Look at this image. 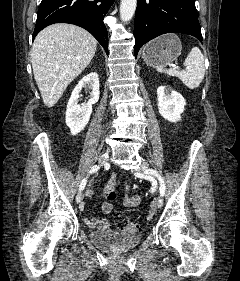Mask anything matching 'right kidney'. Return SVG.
Masks as SVG:
<instances>
[{
  "label": "right kidney",
  "mask_w": 240,
  "mask_h": 281,
  "mask_svg": "<svg viewBox=\"0 0 240 281\" xmlns=\"http://www.w3.org/2000/svg\"><path fill=\"white\" fill-rule=\"evenodd\" d=\"M91 88L92 92L88 102L80 106L78 99L83 87ZM99 78L98 74L91 72L83 77L74 88L67 104L66 124L70 128L71 134L76 135L81 132L88 124L92 113V105L99 100Z\"/></svg>",
  "instance_id": "obj_1"
}]
</instances>
